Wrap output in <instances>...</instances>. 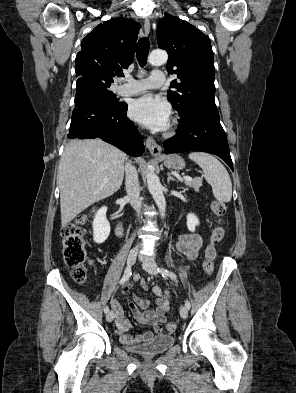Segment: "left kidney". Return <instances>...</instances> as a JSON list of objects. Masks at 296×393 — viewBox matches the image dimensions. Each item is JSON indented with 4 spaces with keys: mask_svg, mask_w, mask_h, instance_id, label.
Here are the masks:
<instances>
[{
    "mask_svg": "<svg viewBox=\"0 0 296 393\" xmlns=\"http://www.w3.org/2000/svg\"><path fill=\"white\" fill-rule=\"evenodd\" d=\"M187 228L189 231L194 232L196 229V226L199 225V220L197 216H195L193 213H189L187 215Z\"/></svg>",
    "mask_w": 296,
    "mask_h": 393,
    "instance_id": "left-kidney-1",
    "label": "left kidney"
}]
</instances>
